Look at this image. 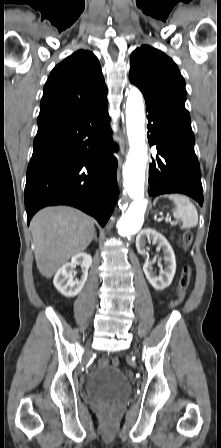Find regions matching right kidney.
Returning a JSON list of instances; mask_svg holds the SVG:
<instances>
[{
	"label": "right kidney",
	"instance_id": "ca27d5eb",
	"mask_svg": "<svg viewBox=\"0 0 221 448\" xmlns=\"http://www.w3.org/2000/svg\"><path fill=\"white\" fill-rule=\"evenodd\" d=\"M92 264V257L87 253L74 255L70 263L64 264L56 273L53 283L56 289L66 297H74L83 289ZM76 265H81V279H73L72 271Z\"/></svg>",
	"mask_w": 221,
	"mask_h": 448
}]
</instances>
